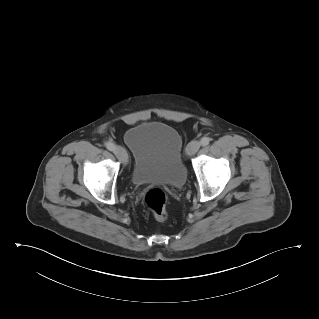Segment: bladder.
<instances>
[{
  "mask_svg": "<svg viewBox=\"0 0 319 319\" xmlns=\"http://www.w3.org/2000/svg\"><path fill=\"white\" fill-rule=\"evenodd\" d=\"M124 142L133 156L131 180L182 187L187 180L183 140L178 131L161 122H145L128 129Z\"/></svg>",
  "mask_w": 319,
  "mask_h": 319,
  "instance_id": "1",
  "label": "bladder"
}]
</instances>
